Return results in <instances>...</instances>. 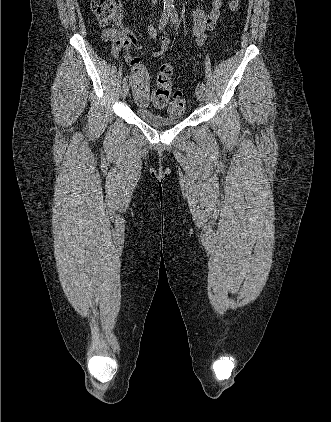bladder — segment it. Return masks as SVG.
Returning <instances> with one entry per match:
<instances>
[{"label": "bladder", "instance_id": "31cf9c89", "mask_svg": "<svg viewBox=\"0 0 331 422\" xmlns=\"http://www.w3.org/2000/svg\"><path fill=\"white\" fill-rule=\"evenodd\" d=\"M136 115L145 123L154 127L174 126L182 121V116H166L145 108H137Z\"/></svg>", "mask_w": 331, "mask_h": 422}]
</instances>
